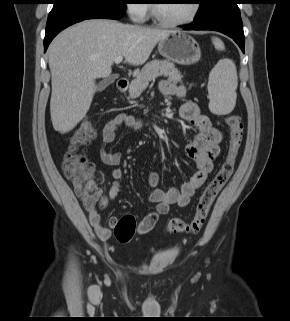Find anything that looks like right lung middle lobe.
<instances>
[{
	"label": "right lung middle lobe",
	"mask_w": 290,
	"mask_h": 321,
	"mask_svg": "<svg viewBox=\"0 0 290 321\" xmlns=\"http://www.w3.org/2000/svg\"><path fill=\"white\" fill-rule=\"evenodd\" d=\"M52 13L60 11L106 12L125 11L126 0H53Z\"/></svg>",
	"instance_id": "1"
}]
</instances>
